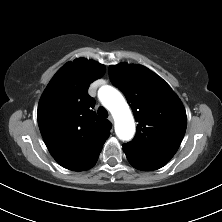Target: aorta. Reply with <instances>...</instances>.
I'll return each instance as SVG.
<instances>
[{
    "mask_svg": "<svg viewBox=\"0 0 222 222\" xmlns=\"http://www.w3.org/2000/svg\"><path fill=\"white\" fill-rule=\"evenodd\" d=\"M99 98L114 118L115 132L119 139H131L135 132V123L129 106L121 93L111 86H104L99 90Z\"/></svg>",
    "mask_w": 222,
    "mask_h": 222,
    "instance_id": "aorta-1",
    "label": "aorta"
}]
</instances>
